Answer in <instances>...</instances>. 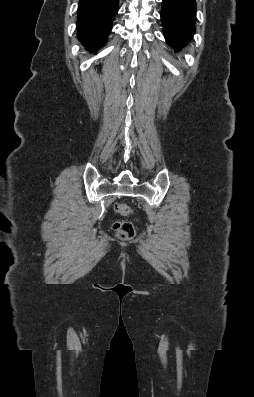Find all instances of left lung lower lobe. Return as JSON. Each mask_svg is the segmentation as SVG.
I'll use <instances>...</instances> for the list:
<instances>
[{
	"instance_id": "obj_1",
	"label": "left lung lower lobe",
	"mask_w": 254,
	"mask_h": 397,
	"mask_svg": "<svg viewBox=\"0 0 254 397\" xmlns=\"http://www.w3.org/2000/svg\"><path fill=\"white\" fill-rule=\"evenodd\" d=\"M161 21L167 43L184 47L195 33V0H162Z\"/></svg>"
}]
</instances>
